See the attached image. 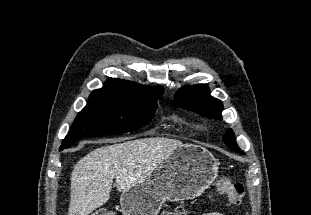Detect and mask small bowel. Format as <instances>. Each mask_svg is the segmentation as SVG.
<instances>
[{"mask_svg":"<svg viewBox=\"0 0 311 215\" xmlns=\"http://www.w3.org/2000/svg\"><path fill=\"white\" fill-rule=\"evenodd\" d=\"M201 215H224V214H221V213H218V212H210V213H203Z\"/></svg>","mask_w":311,"mask_h":215,"instance_id":"c3829d8e","label":"small bowel"}]
</instances>
